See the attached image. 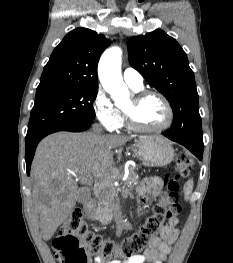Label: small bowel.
<instances>
[{
	"label": "small bowel",
	"instance_id": "obj_1",
	"mask_svg": "<svg viewBox=\"0 0 233 263\" xmlns=\"http://www.w3.org/2000/svg\"><path fill=\"white\" fill-rule=\"evenodd\" d=\"M161 189V179L157 176H148L137 188V196L144 205L150 195L157 197ZM178 225L179 219L177 217L168 219L162 227L160 235L154 238L140 255L126 260H105L97 256L91 263H165L171 252V244L174 243L179 234Z\"/></svg>",
	"mask_w": 233,
	"mask_h": 263
}]
</instances>
